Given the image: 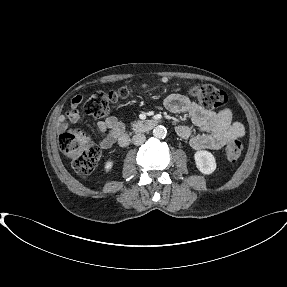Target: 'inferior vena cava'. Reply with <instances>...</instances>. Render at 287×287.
<instances>
[{
  "label": "inferior vena cava",
  "instance_id": "inferior-vena-cava-1",
  "mask_svg": "<svg viewBox=\"0 0 287 287\" xmlns=\"http://www.w3.org/2000/svg\"><path fill=\"white\" fill-rule=\"evenodd\" d=\"M145 140H146V136L141 133H137L132 137V142L136 146L143 144Z\"/></svg>",
  "mask_w": 287,
  "mask_h": 287
}]
</instances>
